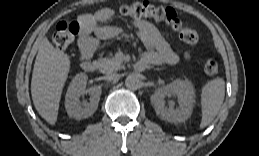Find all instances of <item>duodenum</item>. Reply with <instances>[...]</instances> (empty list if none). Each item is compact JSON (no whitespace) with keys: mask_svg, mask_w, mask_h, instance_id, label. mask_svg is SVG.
Wrapping results in <instances>:
<instances>
[{"mask_svg":"<svg viewBox=\"0 0 259 156\" xmlns=\"http://www.w3.org/2000/svg\"><path fill=\"white\" fill-rule=\"evenodd\" d=\"M82 68L87 72H95L98 69V63L90 57H86L82 61ZM137 68L139 70L144 69L139 63L137 64Z\"/></svg>","mask_w":259,"mask_h":156,"instance_id":"410a0bca","label":"duodenum"}]
</instances>
